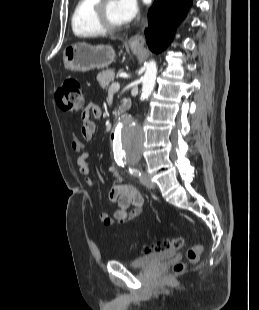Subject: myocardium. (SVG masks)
Returning <instances> with one entry per match:
<instances>
[{
	"label": "myocardium",
	"mask_w": 259,
	"mask_h": 310,
	"mask_svg": "<svg viewBox=\"0 0 259 310\" xmlns=\"http://www.w3.org/2000/svg\"><path fill=\"white\" fill-rule=\"evenodd\" d=\"M109 0H97L93 7V19L95 24L102 32H117L121 30L124 25H113L109 23L106 17V6Z\"/></svg>",
	"instance_id": "myocardium-1"
}]
</instances>
